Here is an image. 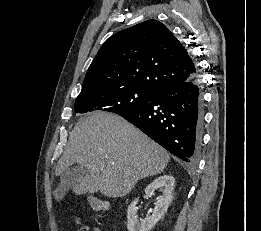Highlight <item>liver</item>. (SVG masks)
<instances>
[{"instance_id": "liver-1", "label": "liver", "mask_w": 261, "mask_h": 231, "mask_svg": "<svg viewBox=\"0 0 261 231\" xmlns=\"http://www.w3.org/2000/svg\"><path fill=\"white\" fill-rule=\"evenodd\" d=\"M169 155L122 117L93 112L73 128L55 175L78 164L88 175L71 185L77 195L100 191L108 197L128 194L138 180L161 173Z\"/></svg>"}]
</instances>
